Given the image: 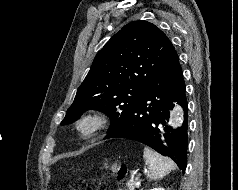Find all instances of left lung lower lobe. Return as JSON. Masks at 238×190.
Segmentation results:
<instances>
[{"label":"left lung lower lobe","instance_id":"0a47b994","mask_svg":"<svg viewBox=\"0 0 238 190\" xmlns=\"http://www.w3.org/2000/svg\"><path fill=\"white\" fill-rule=\"evenodd\" d=\"M177 103L184 110L181 127L167 126L170 110ZM188 103L183 73L176 55L150 81L127 116L106 137L141 142L173 159L184 172L187 165Z\"/></svg>","mask_w":238,"mask_h":190}]
</instances>
